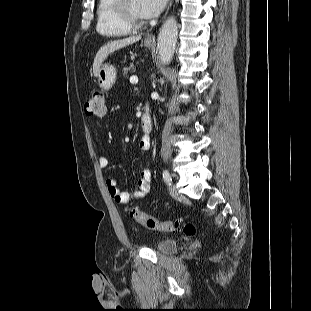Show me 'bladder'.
I'll return each instance as SVG.
<instances>
[{
  "label": "bladder",
  "mask_w": 311,
  "mask_h": 311,
  "mask_svg": "<svg viewBox=\"0 0 311 311\" xmlns=\"http://www.w3.org/2000/svg\"><path fill=\"white\" fill-rule=\"evenodd\" d=\"M154 248L161 253H172L178 248V243L171 238H162L154 245Z\"/></svg>",
  "instance_id": "1"
}]
</instances>
